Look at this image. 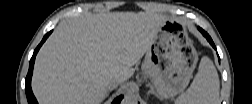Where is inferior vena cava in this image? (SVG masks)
<instances>
[{"label": "inferior vena cava", "instance_id": "obj_1", "mask_svg": "<svg viewBox=\"0 0 252 104\" xmlns=\"http://www.w3.org/2000/svg\"><path fill=\"white\" fill-rule=\"evenodd\" d=\"M121 82H122V80L120 78L111 79L108 82V90L111 91V90L115 89Z\"/></svg>", "mask_w": 252, "mask_h": 104}]
</instances>
